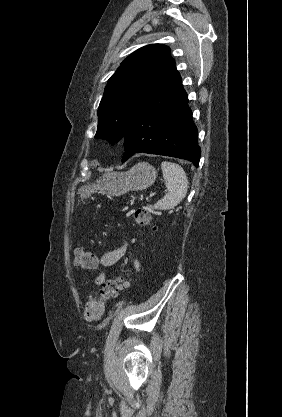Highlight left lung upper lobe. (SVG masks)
Returning a JSON list of instances; mask_svg holds the SVG:
<instances>
[{
	"label": "left lung upper lobe",
	"instance_id": "5c2ea615",
	"mask_svg": "<svg viewBox=\"0 0 282 417\" xmlns=\"http://www.w3.org/2000/svg\"><path fill=\"white\" fill-rule=\"evenodd\" d=\"M174 65L169 47L161 44L144 46L129 55L105 87L95 137L111 144L121 140L133 112Z\"/></svg>",
	"mask_w": 282,
	"mask_h": 417
}]
</instances>
